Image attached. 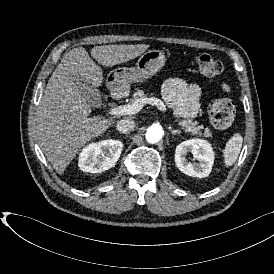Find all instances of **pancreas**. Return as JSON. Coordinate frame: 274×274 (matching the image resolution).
Segmentation results:
<instances>
[{"mask_svg": "<svg viewBox=\"0 0 274 274\" xmlns=\"http://www.w3.org/2000/svg\"><path fill=\"white\" fill-rule=\"evenodd\" d=\"M146 99V95L144 94L143 90L137 89L136 93L133 95L132 102L135 104L137 102H141L142 100ZM177 124L183 129L185 132H189L191 135L194 136H203L212 138V133L208 127H204V125H198L197 122L193 121V119H175Z\"/></svg>", "mask_w": 274, "mask_h": 274, "instance_id": "cf45deb5", "label": "pancreas"}]
</instances>
